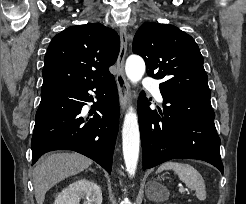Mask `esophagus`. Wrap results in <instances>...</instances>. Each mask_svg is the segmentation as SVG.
Segmentation results:
<instances>
[{"mask_svg":"<svg viewBox=\"0 0 246 204\" xmlns=\"http://www.w3.org/2000/svg\"><path fill=\"white\" fill-rule=\"evenodd\" d=\"M120 36V52L117 59V75L116 82L119 92L120 105L122 113H124L131 97L130 85L126 79L124 73V62L127 52V42H128V33L126 27H121L119 30Z\"/></svg>","mask_w":246,"mask_h":204,"instance_id":"esophagus-1","label":"esophagus"}]
</instances>
